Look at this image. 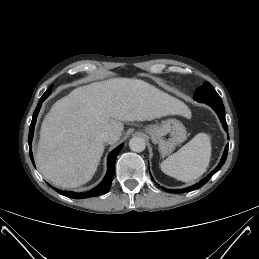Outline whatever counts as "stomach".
<instances>
[{"label": "stomach", "mask_w": 259, "mask_h": 259, "mask_svg": "<svg viewBox=\"0 0 259 259\" xmlns=\"http://www.w3.org/2000/svg\"><path fill=\"white\" fill-rule=\"evenodd\" d=\"M145 131L152 142L158 144L159 153L163 157L170 155L187 137L185 126L174 118L162 121L160 125H150Z\"/></svg>", "instance_id": "0dacf381"}]
</instances>
